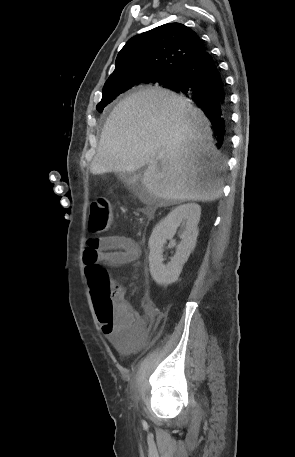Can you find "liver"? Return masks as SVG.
I'll use <instances>...</instances> for the list:
<instances>
[{"label":"liver","instance_id":"1","mask_svg":"<svg viewBox=\"0 0 295 457\" xmlns=\"http://www.w3.org/2000/svg\"><path fill=\"white\" fill-rule=\"evenodd\" d=\"M145 165L141 182L156 198L207 202L221 196L209 120L172 91L146 89L121 100L103 127L90 171L125 173Z\"/></svg>","mask_w":295,"mask_h":457}]
</instances>
